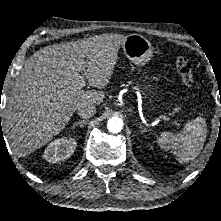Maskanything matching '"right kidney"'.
<instances>
[{"instance_id":"right-kidney-1","label":"right kidney","mask_w":221,"mask_h":221,"mask_svg":"<svg viewBox=\"0 0 221 221\" xmlns=\"http://www.w3.org/2000/svg\"><path fill=\"white\" fill-rule=\"evenodd\" d=\"M76 146V141L73 138L56 139L48 144L43 157L50 163L65 161L74 153Z\"/></svg>"}]
</instances>
